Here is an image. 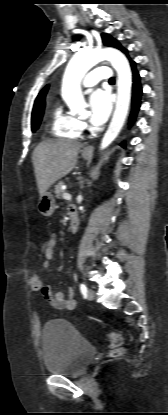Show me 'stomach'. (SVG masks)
<instances>
[{"instance_id": "obj_1", "label": "stomach", "mask_w": 168, "mask_h": 415, "mask_svg": "<svg viewBox=\"0 0 168 415\" xmlns=\"http://www.w3.org/2000/svg\"><path fill=\"white\" fill-rule=\"evenodd\" d=\"M92 156L91 152L82 151V157L84 159H90ZM55 209V200L50 193H45L40 197L38 202V211L46 217H49L53 214Z\"/></svg>"}]
</instances>
